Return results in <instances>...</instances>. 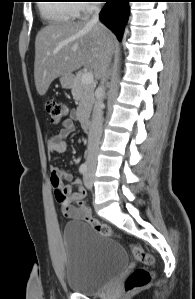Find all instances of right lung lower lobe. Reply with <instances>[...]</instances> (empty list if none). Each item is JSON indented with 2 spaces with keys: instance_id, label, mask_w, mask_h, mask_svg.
<instances>
[{
  "instance_id": "right-lung-lower-lobe-1",
  "label": "right lung lower lobe",
  "mask_w": 195,
  "mask_h": 299,
  "mask_svg": "<svg viewBox=\"0 0 195 299\" xmlns=\"http://www.w3.org/2000/svg\"><path fill=\"white\" fill-rule=\"evenodd\" d=\"M129 1L106 0V4L100 13L101 21L112 30L119 40L127 20Z\"/></svg>"
}]
</instances>
